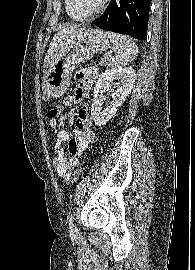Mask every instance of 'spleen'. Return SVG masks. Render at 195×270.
Masks as SVG:
<instances>
[{
	"instance_id": "obj_1",
	"label": "spleen",
	"mask_w": 195,
	"mask_h": 270,
	"mask_svg": "<svg viewBox=\"0 0 195 270\" xmlns=\"http://www.w3.org/2000/svg\"><path fill=\"white\" fill-rule=\"evenodd\" d=\"M106 35L115 51V56L111 61L112 66H125L136 58L138 47L130 37L109 31L106 32Z\"/></svg>"
}]
</instances>
